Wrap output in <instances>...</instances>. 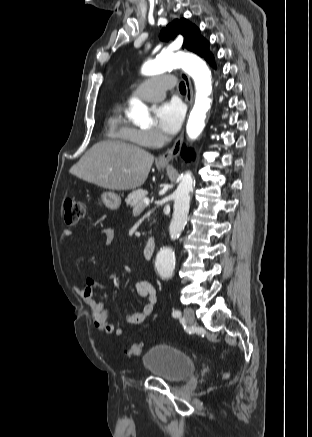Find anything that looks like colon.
<instances>
[{
	"label": "colon",
	"instance_id": "colon-1",
	"mask_svg": "<svg viewBox=\"0 0 312 437\" xmlns=\"http://www.w3.org/2000/svg\"><path fill=\"white\" fill-rule=\"evenodd\" d=\"M64 220L69 225H74L84 215V205L72 198H66L63 201ZM141 353V346L138 343H134L127 349V354L131 356H137Z\"/></svg>",
	"mask_w": 312,
	"mask_h": 437
}]
</instances>
